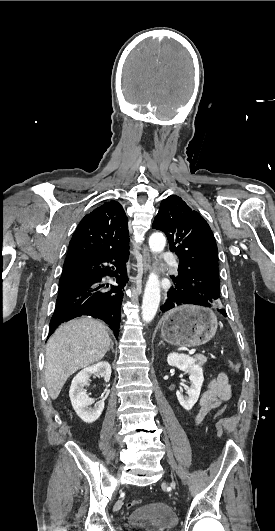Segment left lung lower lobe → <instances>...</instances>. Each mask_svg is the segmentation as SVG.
Listing matches in <instances>:
<instances>
[{
    "label": "left lung lower lobe",
    "mask_w": 275,
    "mask_h": 531,
    "mask_svg": "<svg viewBox=\"0 0 275 531\" xmlns=\"http://www.w3.org/2000/svg\"><path fill=\"white\" fill-rule=\"evenodd\" d=\"M182 304H189V303L182 301L181 299H179V297H177L171 291H169L166 301L161 306V311L167 312L170 309L174 308L175 306L182 305ZM220 312L224 316H227L226 312L223 309L220 310Z\"/></svg>",
    "instance_id": "0a47b994"
}]
</instances>
